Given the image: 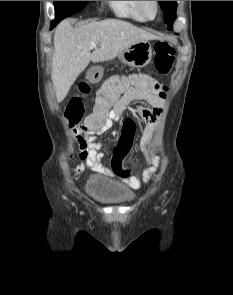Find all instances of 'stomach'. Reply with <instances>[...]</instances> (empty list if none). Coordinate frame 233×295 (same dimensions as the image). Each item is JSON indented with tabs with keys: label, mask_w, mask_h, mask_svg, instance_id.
I'll use <instances>...</instances> for the list:
<instances>
[{
	"label": "stomach",
	"mask_w": 233,
	"mask_h": 295,
	"mask_svg": "<svg viewBox=\"0 0 233 295\" xmlns=\"http://www.w3.org/2000/svg\"><path fill=\"white\" fill-rule=\"evenodd\" d=\"M119 59L130 67L143 68L152 59V47L148 40H140L125 48L118 55ZM103 76L101 67H94L87 72V78L92 83H97Z\"/></svg>",
	"instance_id": "stomach-1"
}]
</instances>
